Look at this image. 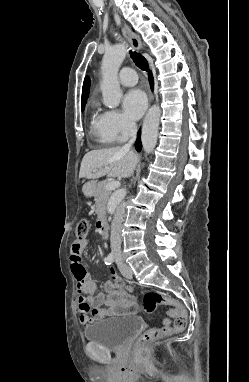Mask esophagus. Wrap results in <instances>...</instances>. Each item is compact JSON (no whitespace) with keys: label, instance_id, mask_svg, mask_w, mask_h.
I'll return each mask as SVG.
<instances>
[{"label":"esophagus","instance_id":"34e87169","mask_svg":"<svg viewBox=\"0 0 249 382\" xmlns=\"http://www.w3.org/2000/svg\"><path fill=\"white\" fill-rule=\"evenodd\" d=\"M121 31L124 37L130 42L134 50L139 51L142 49V42L140 38L133 33L126 24L122 26ZM150 100H152V96Z\"/></svg>","mask_w":249,"mask_h":382}]
</instances>
